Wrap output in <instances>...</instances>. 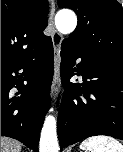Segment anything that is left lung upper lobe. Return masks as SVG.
Here are the masks:
<instances>
[{"label": "left lung upper lobe", "instance_id": "5c2ea615", "mask_svg": "<svg viewBox=\"0 0 123 152\" xmlns=\"http://www.w3.org/2000/svg\"><path fill=\"white\" fill-rule=\"evenodd\" d=\"M60 8L78 17L74 32L64 42L99 61L123 66V9L116 0H58Z\"/></svg>", "mask_w": 123, "mask_h": 152}]
</instances>
